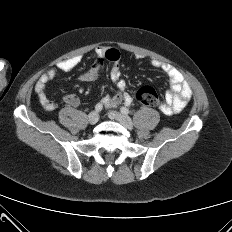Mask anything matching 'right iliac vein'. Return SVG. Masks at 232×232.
I'll return each instance as SVG.
<instances>
[{
  "label": "right iliac vein",
  "instance_id": "1",
  "mask_svg": "<svg viewBox=\"0 0 232 232\" xmlns=\"http://www.w3.org/2000/svg\"><path fill=\"white\" fill-rule=\"evenodd\" d=\"M99 120V114L95 111L91 112L89 115H88V122L90 124H96Z\"/></svg>",
  "mask_w": 232,
  "mask_h": 232
}]
</instances>
